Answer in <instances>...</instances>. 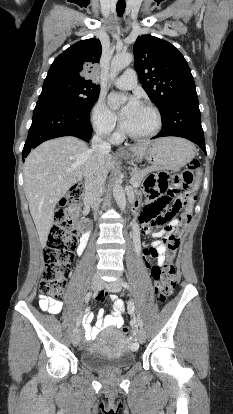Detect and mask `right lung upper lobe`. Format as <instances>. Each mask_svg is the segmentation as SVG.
Masks as SVG:
<instances>
[{
	"mask_svg": "<svg viewBox=\"0 0 233 414\" xmlns=\"http://www.w3.org/2000/svg\"><path fill=\"white\" fill-rule=\"evenodd\" d=\"M102 47L98 39L81 40L60 54L52 63L47 77L59 76L93 84L83 77L91 64L99 63Z\"/></svg>",
	"mask_w": 233,
	"mask_h": 414,
	"instance_id": "1",
	"label": "right lung upper lobe"
}]
</instances>
